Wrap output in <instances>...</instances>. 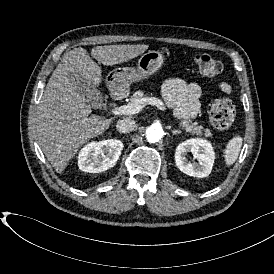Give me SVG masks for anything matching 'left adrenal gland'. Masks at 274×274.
<instances>
[{"instance_id": "obj_1", "label": "left adrenal gland", "mask_w": 274, "mask_h": 274, "mask_svg": "<svg viewBox=\"0 0 274 274\" xmlns=\"http://www.w3.org/2000/svg\"><path fill=\"white\" fill-rule=\"evenodd\" d=\"M179 133H181V131H180V130H172V134H173V135H175V134H179Z\"/></svg>"}]
</instances>
